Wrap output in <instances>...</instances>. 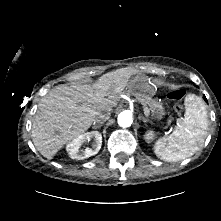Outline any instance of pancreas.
<instances>
[{
    "instance_id": "pancreas-1",
    "label": "pancreas",
    "mask_w": 221,
    "mask_h": 221,
    "mask_svg": "<svg viewBox=\"0 0 221 221\" xmlns=\"http://www.w3.org/2000/svg\"><path fill=\"white\" fill-rule=\"evenodd\" d=\"M137 100L149 107V110L151 111L152 115L156 118L161 119L163 115H165L163 104L156 99H152L149 96L141 95L137 96Z\"/></svg>"
}]
</instances>
